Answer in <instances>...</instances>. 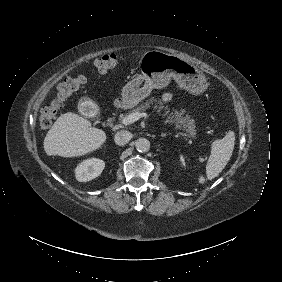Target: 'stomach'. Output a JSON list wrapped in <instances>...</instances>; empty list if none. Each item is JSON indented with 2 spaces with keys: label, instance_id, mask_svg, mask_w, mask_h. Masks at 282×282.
Listing matches in <instances>:
<instances>
[{
  "label": "stomach",
  "instance_id": "0dacf381",
  "mask_svg": "<svg viewBox=\"0 0 282 282\" xmlns=\"http://www.w3.org/2000/svg\"><path fill=\"white\" fill-rule=\"evenodd\" d=\"M142 75L133 79L122 88V100L127 107H134L145 99L153 88L167 86L171 78L193 93H202L207 87L202 72L182 58L158 50L143 54Z\"/></svg>",
  "mask_w": 282,
  "mask_h": 282
}]
</instances>
